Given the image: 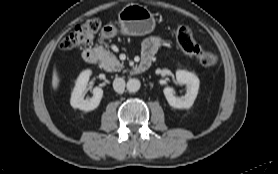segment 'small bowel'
<instances>
[{"label":"small bowel","instance_id":"c3829d8e","mask_svg":"<svg viewBox=\"0 0 278 174\" xmlns=\"http://www.w3.org/2000/svg\"><path fill=\"white\" fill-rule=\"evenodd\" d=\"M163 45V39L158 36H152L145 39L142 43L143 56L152 57Z\"/></svg>","mask_w":278,"mask_h":174}]
</instances>
